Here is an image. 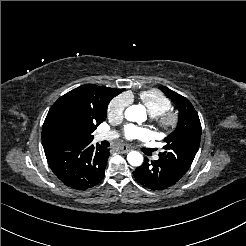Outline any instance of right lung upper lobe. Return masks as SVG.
<instances>
[{
    "label": "right lung upper lobe",
    "instance_id": "obj_1",
    "mask_svg": "<svg viewBox=\"0 0 246 246\" xmlns=\"http://www.w3.org/2000/svg\"><path fill=\"white\" fill-rule=\"evenodd\" d=\"M124 89L85 84L60 97L49 110L42 128V143L46 146L61 142L59 124L68 118L79 122L102 123L110 100Z\"/></svg>",
    "mask_w": 246,
    "mask_h": 246
}]
</instances>
